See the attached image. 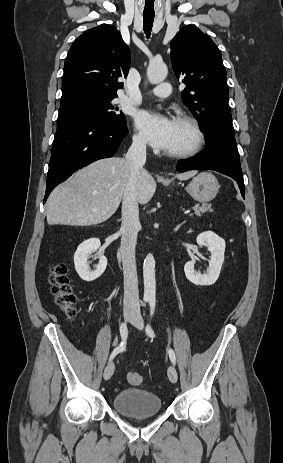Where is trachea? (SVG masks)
Masks as SVG:
<instances>
[{"label": "trachea", "mask_w": 283, "mask_h": 463, "mask_svg": "<svg viewBox=\"0 0 283 463\" xmlns=\"http://www.w3.org/2000/svg\"><path fill=\"white\" fill-rule=\"evenodd\" d=\"M143 18H144V22H143L144 32L146 34V37L149 38L152 27H153L154 15L143 14Z\"/></svg>", "instance_id": "trachea-1"}]
</instances>
